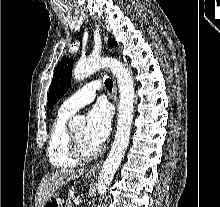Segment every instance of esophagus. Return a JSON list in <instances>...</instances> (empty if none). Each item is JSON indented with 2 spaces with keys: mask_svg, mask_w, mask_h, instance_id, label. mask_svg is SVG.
Instances as JSON below:
<instances>
[{
  "mask_svg": "<svg viewBox=\"0 0 220 207\" xmlns=\"http://www.w3.org/2000/svg\"><path fill=\"white\" fill-rule=\"evenodd\" d=\"M111 99L114 103L115 106H117V84H116V80L113 78V89H112V93H111ZM102 161L94 164L88 171V174L90 175H94L97 173L100 165H101Z\"/></svg>",
  "mask_w": 220,
  "mask_h": 207,
  "instance_id": "34e87169",
  "label": "esophagus"
}]
</instances>
